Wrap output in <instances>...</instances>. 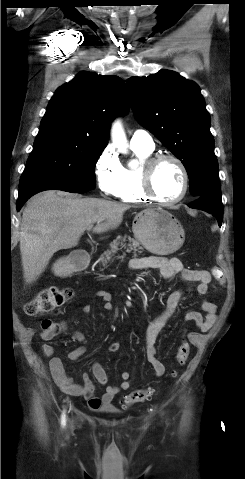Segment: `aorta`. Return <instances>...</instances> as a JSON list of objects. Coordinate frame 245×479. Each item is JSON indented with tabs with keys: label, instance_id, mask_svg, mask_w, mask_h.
Instances as JSON below:
<instances>
[{
	"label": "aorta",
	"instance_id": "762f6f07",
	"mask_svg": "<svg viewBox=\"0 0 245 479\" xmlns=\"http://www.w3.org/2000/svg\"><path fill=\"white\" fill-rule=\"evenodd\" d=\"M112 141L118 150L122 153L127 152V140L122 128V125L119 121H116L112 127Z\"/></svg>",
	"mask_w": 245,
	"mask_h": 479
}]
</instances>
